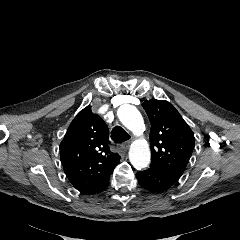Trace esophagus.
<instances>
[{
	"label": "esophagus",
	"mask_w": 240,
	"mask_h": 240,
	"mask_svg": "<svg viewBox=\"0 0 240 240\" xmlns=\"http://www.w3.org/2000/svg\"><path fill=\"white\" fill-rule=\"evenodd\" d=\"M129 146H130L129 141H125L121 144V148L125 151L129 149Z\"/></svg>",
	"instance_id": "esophagus-1"
}]
</instances>
